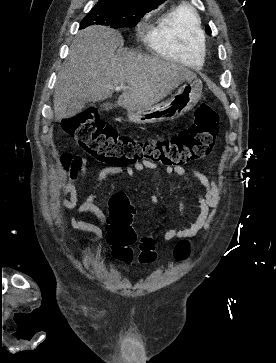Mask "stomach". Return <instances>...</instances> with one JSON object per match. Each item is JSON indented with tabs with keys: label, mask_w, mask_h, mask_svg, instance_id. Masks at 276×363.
I'll use <instances>...</instances> for the list:
<instances>
[{
	"label": "stomach",
	"mask_w": 276,
	"mask_h": 363,
	"mask_svg": "<svg viewBox=\"0 0 276 363\" xmlns=\"http://www.w3.org/2000/svg\"><path fill=\"white\" fill-rule=\"evenodd\" d=\"M201 95L202 82L197 78L187 80L168 101L148 108L129 109L127 117L137 124L171 121L192 110Z\"/></svg>",
	"instance_id": "obj_1"
}]
</instances>
